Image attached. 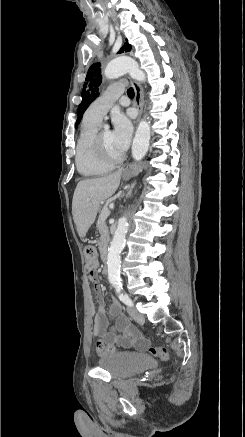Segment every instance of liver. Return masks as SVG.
Returning <instances> with one entry per match:
<instances>
[{"mask_svg": "<svg viewBox=\"0 0 245 437\" xmlns=\"http://www.w3.org/2000/svg\"><path fill=\"white\" fill-rule=\"evenodd\" d=\"M122 169L94 179L80 181L74 191L72 215L80 238H84L97 216L100 203L111 197L117 190Z\"/></svg>", "mask_w": 245, "mask_h": 437, "instance_id": "obj_1", "label": "liver"}]
</instances>
